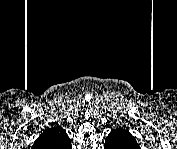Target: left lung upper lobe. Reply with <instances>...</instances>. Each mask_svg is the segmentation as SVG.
<instances>
[{"label": "left lung upper lobe", "instance_id": "obj_1", "mask_svg": "<svg viewBox=\"0 0 177 149\" xmlns=\"http://www.w3.org/2000/svg\"><path fill=\"white\" fill-rule=\"evenodd\" d=\"M117 134H120L124 137L125 144H123L122 148L119 149H137L139 148V145L137 144V141L135 138L125 129L121 127H117L116 129H113L111 133L107 136H117Z\"/></svg>", "mask_w": 177, "mask_h": 149}]
</instances>
